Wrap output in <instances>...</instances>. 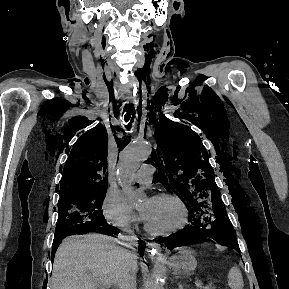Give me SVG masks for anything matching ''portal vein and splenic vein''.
<instances>
[{"instance_id": "obj_1", "label": "portal vein and splenic vein", "mask_w": 289, "mask_h": 289, "mask_svg": "<svg viewBox=\"0 0 289 289\" xmlns=\"http://www.w3.org/2000/svg\"><path fill=\"white\" fill-rule=\"evenodd\" d=\"M109 285H111V284H110V283H107V282H104V287H105V288H103V289H106V287L109 286ZM195 285H196V287H197L198 289H203V283H202V281H196Z\"/></svg>"}]
</instances>
